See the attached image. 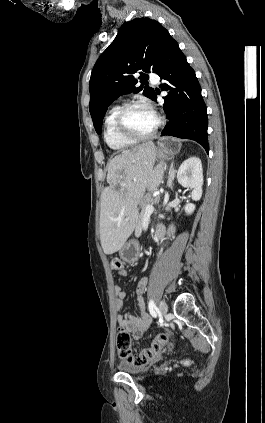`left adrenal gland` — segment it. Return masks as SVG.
Listing matches in <instances>:
<instances>
[{"instance_id": "1", "label": "left adrenal gland", "mask_w": 265, "mask_h": 423, "mask_svg": "<svg viewBox=\"0 0 265 423\" xmlns=\"http://www.w3.org/2000/svg\"><path fill=\"white\" fill-rule=\"evenodd\" d=\"M175 172L176 171L174 170V163L172 162L170 166V170H169V180L171 181V184H172V180L174 179Z\"/></svg>"}]
</instances>
